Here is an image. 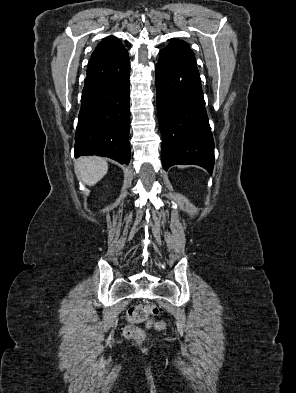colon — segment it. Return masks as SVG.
<instances>
[{"label": "colon", "instance_id": "colon-1", "mask_svg": "<svg viewBox=\"0 0 296 393\" xmlns=\"http://www.w3.org/2000/svg\"><path fill=\"white\" fill-rule=\"evenodd\" d=\"M158 313V307L155 304H138L130 307L127 310V318L131 322L136 323H149L150 318ZM157 329L165 327L163 322H159L155 325ZM125 334L130 339L135 341H144L146 339L145 332L134 325H128L125 328Z\"/></svg>", "mask_w": 296, "mask_h": 393}]
</instances>
